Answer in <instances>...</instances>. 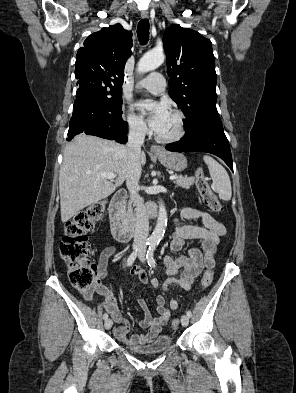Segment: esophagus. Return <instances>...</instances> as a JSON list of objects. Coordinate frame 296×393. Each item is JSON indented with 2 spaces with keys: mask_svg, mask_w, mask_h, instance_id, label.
<instances>
[{
  "mask_svg": "<svg viewBox=\"0 0 296 393\" xmlns=\"http://www.w3.org/2000/svg\"><path fill=\"white\" fill-rule=\"evenodd\" d=\"M141 16H142V18H144V19L148 18V16H149L148 11H142V12H141ZM150 149H151V152H153V153H155V154L162 153V151H163L162 147H161V146H158V145H153V146H151Z\"/></svg>",
  "mask_w": 296,
  "mask_h": 393,
  "instance_id": "34e87169",
  "label": "esophagus"
}]
</instances>
